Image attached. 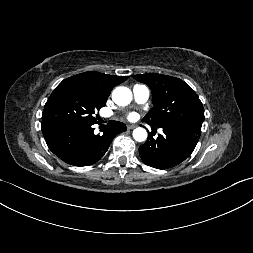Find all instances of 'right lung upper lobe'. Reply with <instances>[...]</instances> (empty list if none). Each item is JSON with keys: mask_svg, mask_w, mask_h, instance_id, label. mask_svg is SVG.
Wrapping results in <instances>:
<instances>
[{"mask_svg": "<svg viewBox=\"0 0 253 253\" xmlns=\"http://www.w3.org/2000/svg\"><path fill=\"white\" fill-rule=\"evenodd\" d=\"M90 88L99 97L107 99L113 87L124 82L127 76L107 75L89 71L73 76Z\"/></svg>", "mask_w": 253, "mask_h": 253, "instance_id": "right-lung-upper-lobe-1", "label": "right lung upper lobe"}]
</instances>
